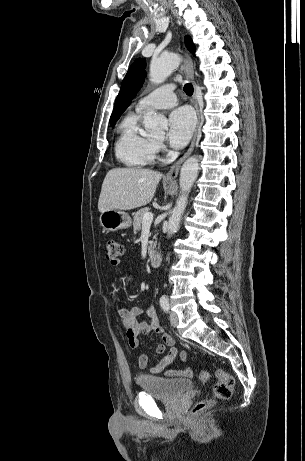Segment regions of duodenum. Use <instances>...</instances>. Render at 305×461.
Here are the masks:
<instances>
[{
  "mask_svg": "<svg viewBox=\"0 0 305 461\" xmlns=\"http://www.w3.org/2000/svg\"><path fill=\"white\" fill-rule=\"evenodd\" d=\"M148 260L151 267H157L162 261V255L160 251L151 249L148 253Z\"/></svg>",
  "mask_w": 305,
  "mask_h": 461,
  "instance_id": "410a0bca",
  "label": "duodenum"
}]
</instances>
